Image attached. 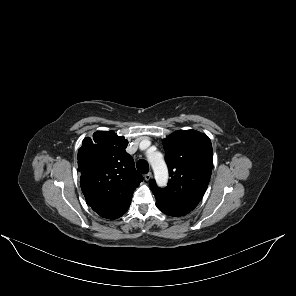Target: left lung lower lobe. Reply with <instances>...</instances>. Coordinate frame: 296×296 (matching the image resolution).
I'll use <instances>...</instances> for the list:
<instances>
[{"mask_svg": "<svg viewBox=\"0 0 296 296\" xmlns=\"http://www.w3.org/2000/svg\"><path fill=\"white\" fill-rule=\"evenodd\" d=\"M158 209L161 210L162 212H164L165 214L170 215V216H174V217L183 216V215L187 214V213H183V212L168 211V210H164L159 207H158Z\"/></svg>", "mask_w": 296, "mask_h": 296, "instance_id": "left-lung-lower-lobe-1", "label": "left lung lower lobe"}]
</instances>
